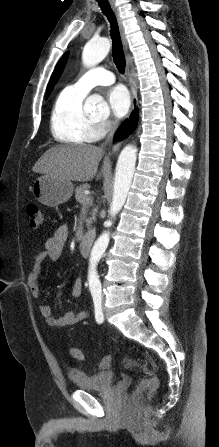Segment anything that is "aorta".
<instances>
[{
    "mask_svg": "<svg viewBox=\"0 0 219 447\" xmlns=\"http://www.w3.org/2000/svg\"><path fill=\"white\" fill-rule=\"evenodd\" d=\"M110 46V41L106 37L89 40L82 52L83 64L91 67L100 63L109 53ZM87 104L92 110H104L107 106L99 97H90L87 100ZM136 159L137 149L133 145L124 147L118 157L114 178L113 198L109 209L111 220L107 221L109 226L113 223L112 218L116 217L125 204L135 171ZM109 240V231H105L99 236L91 251L90 261L92 264L100 260L109 244ZM89 278L90 281H97L98 278L94 270L90 272Z\"/></svg>",
    "mask_w": 219,
    "mask_h": 447,
    "instance_id": "762f6f07",
    "label": "aorta"
}]
</instances>
